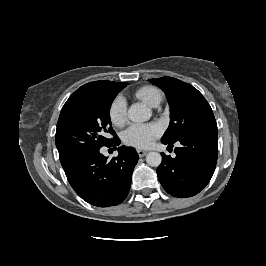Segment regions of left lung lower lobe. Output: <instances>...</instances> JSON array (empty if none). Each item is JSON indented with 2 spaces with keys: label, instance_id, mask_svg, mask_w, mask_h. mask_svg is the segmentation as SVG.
<instances>
[{
  "label": "left lung lower lobe",
  "instance_id": "1",
  "mask_svg": "<svg viewBox=\"0 0 266 266\" xmlns=\"http://www.w3.org/2000/svg\"><path fill=\"white\" fill-rule=\"evenodd\" d=\"M178 142L181 145L174 149L175 158L162 154L157 175L167 193L174 197H191L199 193L213 176L218 156V130L200 131Z\"/></svg>",
  "mask_w": 266,
  "mask_h": 266
}]
</instances>
